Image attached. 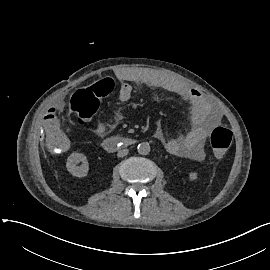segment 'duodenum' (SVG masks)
<instances>
[{
  "label": "duodenum",
  "mask_w": 270,
  "mask_h": 270,
  "mask_svg": "<svg viewBox=\"0 0 270 270\" xmlns=\"http://www.w3.org/2000/svg\"><path fill=\"white\" fill-rule=\"evenodd\" d=\"M135 141L129 137L114 136L106 138L103 141V148L108 152H114L116 150L131 146Z\"/></svg>",
  "instance_id": "duodenum-1"
}]
</instances>
